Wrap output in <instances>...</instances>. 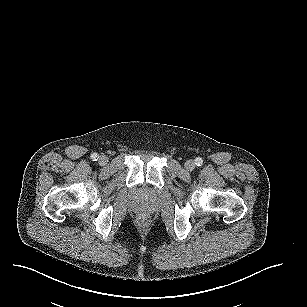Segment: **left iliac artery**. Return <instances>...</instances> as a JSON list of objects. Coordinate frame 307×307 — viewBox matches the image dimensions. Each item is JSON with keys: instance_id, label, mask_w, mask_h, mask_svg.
Returning a JSON list of instances; mask_svg holds the SVG:
<instances>
[{"instance_id": "1", "label": "left iliac artery", "mask_w": 307, "mask_h": 307, "mask_svg": "<svg viewBox=\"0 0 307 307\" xmlns=\"http://www.w3.org/2000/svg\"><path fill=\"white\" fill-rule=\"evenodd\" d=\"M195 164H196L197 166H201V165L203 164L202 158L197 157V158L195 159Z\"/></svg>"}]
</instances>
